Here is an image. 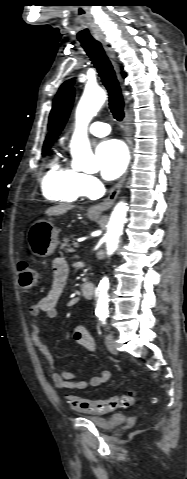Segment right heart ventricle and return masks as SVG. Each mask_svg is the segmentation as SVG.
<instances>
[{
  "label": "right heart ventricle",
  "mask_w": 187,
  "mask_h": 479,
  "mask_svg": "<svg viewBox=\"0 0 187 479\" xmlns=\"http://www.w3.org/2000/svg\"><path fill=\"white\" fill-rule=\"evenodd\" d=\"M80 173L65 165L61 155L52 157L41 180L43 196L51 201L69 203L84 195L80 187Z\"/></svg>",
  "instance_id": "obj_1"
}]
</instances>
